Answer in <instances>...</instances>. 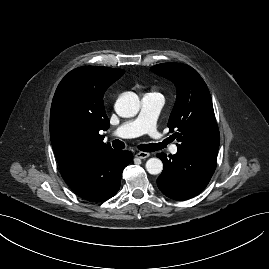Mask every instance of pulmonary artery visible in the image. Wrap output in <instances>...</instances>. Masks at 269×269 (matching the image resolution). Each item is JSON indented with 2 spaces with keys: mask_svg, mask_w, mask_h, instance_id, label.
<instances>
[{
  "mask_svg": "<svg viewBox=\"0 0 269 269\" xmlns=\"http://www.w3.org/2000/svg\"><path fill=\"white\" fill-rule=\"evenodd\" d=\"M164 104L163 95L158 92L145 94L141 99V108L139 114L117 127L113 131V135L121 138H131L142 134H150L154 137H159L156 130V119ZM165 146L167 141L161 140ZM169 151L172 154L178 152L176 145H171Z\"/></svg>",
  "mask_w": 269,
  "mask_h": 269,
  "instance_id": "obj_1",
  "label": "pulmonary artery"
}]
</instances>
